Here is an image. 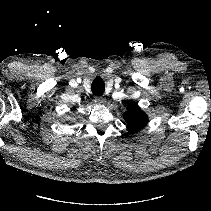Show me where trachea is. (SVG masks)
Returning <instances> with one entry per match:
<instances>
[{"instance_id": "3493384b", "label": "trachea", "mask_w": 211, "mask_h": 211, "mask_svg": "<svg viewBox=\"0 0 211 211\" xmlns=\"http://www.w3.org/2000/svg\"><path fill=\"white\" fill-rule=\"evenodd\" d=\"M91 91L95 95L102 96L105 91V83L101 77H97L91 84Z\"/></svg>"}]
</instances>
